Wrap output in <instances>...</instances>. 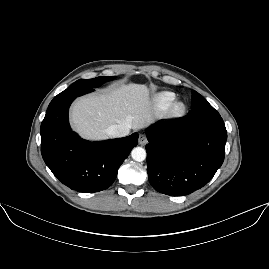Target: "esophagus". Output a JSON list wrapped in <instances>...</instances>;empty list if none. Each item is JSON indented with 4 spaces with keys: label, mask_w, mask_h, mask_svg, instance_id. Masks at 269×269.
I'll return each instance as SVG.
<instances>
[{
    "label": "esophagus",
    "mask_w": 269,
    "mask_h": 269,
    "mask_svg": "<svg viewBox=\"0 0 269 269\" xmlns=\"http://www.w3.org/2000/svg\"><path fill=\"white\" fill-rule=\"evenodd\" d=\"M147 138H146V136L144 135V134H141L140 136H139V140H138V143H139V145H141V146H145L146 144H147Z\"/></svg>",
    "instance_id": "esophagus-1"
}]
</instances>
